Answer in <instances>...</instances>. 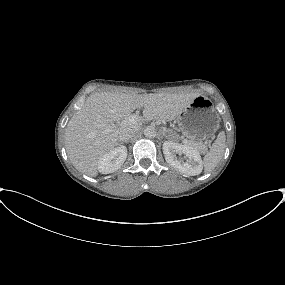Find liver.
Returning a JSON list of instances; mask_svg holds the SVG:
<instances>
[{
  "mask_svg": "<svg viewBox=\"0 0 285 285\" xmlns=\"http://www.w3.org/2000/svg\"><path fill=\"white\" fill-rule=\"evenodd\" d=\"M199 93H119L91 94L70 119L65 131V148L73 166L90 177L98 175V161L118 145L124 128L139 130L143 120L172 121ZM143 108V117L134 124L113 126ZM108 130V131H107ZM107 131V132H106Z\"/></svg>",
  "mask_w": 285,
  "mask_h": 285,
  "instance_id": "1",
  "label": "liver"
}]
</instances>
